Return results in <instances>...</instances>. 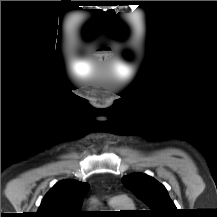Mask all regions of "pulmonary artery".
I'll return each instance as SVG.
<instances>
[{
    "label": "pulmonary artery",
    "mask_w": 217,
    "mask_h": 217,
    "mask_svg": "<svg viewBox=\"0 0 217 217\" xmlns=\"http://www.w3.org/2000/svg\"><path fill=\"white\" fill-rule=\"evenodd\" d=\"M125 200H126L125 196L116 195L110 200V202H124Z\"/></svg>",
    "instance_id": "1"
}]
</instances>
